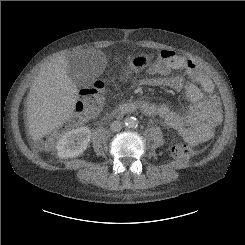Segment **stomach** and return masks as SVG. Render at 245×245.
Masks as SVG:
<instances>
[{
    "label": "stomach",
    "instance_id": "stomach-1",
    "mask_svg": "<svg viewBox=\"0 0 245 245\" xmlns=\"http://www.w3.org/2000/svg\"><path fill=\"white\" fill-rule=\"evenodd\" d=\"M151 62V57L147 54H139L135 57H132L129 61V68L131 71L139 72L142 71L145 67Z\"/></svg>",
    "mask_w": 245,
    "mask_h": 245
}]
</instances>
